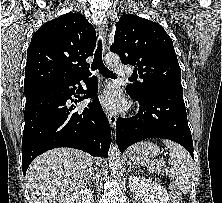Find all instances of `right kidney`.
Returning a JSON list of instances; mask_svg holds the SVG:
<instances>
[{
	"label": "right kidney",
	"instance_id": "1",
	"mask_svg": "<svg viewBox=\"0 0 222 203\" xmlns=\"http://www.w3.org/2000/svg\"><path fill=\"white\" fill-rule=\"evenodd\" d=\"M92 201L93 192L90 189L84 188L66 198L64 203H92Z\"/></svg>",
	"mask_w": 222,
	"mask_h": 203
}]
</instances>
